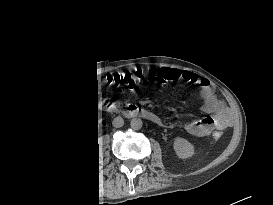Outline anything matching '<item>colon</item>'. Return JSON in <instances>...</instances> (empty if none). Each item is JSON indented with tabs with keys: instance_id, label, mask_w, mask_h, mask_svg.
<instances>
[{
	"instance_id": "colon-1",
	"label": "colon",
	"mask_w": 273,
	"mask_h": 205,
	"mask_svg": "<svg viewBox=\"0 0 273 205\" xmlns=\"http://www.w3.org/2000/svg\"><path fill=\"white\" fill-rule=\"evenodd\" d=\"M140 77V74H134V73H125L122 75H110L102 77L101 80L103 82L108 83L109 85H113L115 87H132L135 85L137 79ZM162 78V79H161ZM157 81L159 82H165L168 81V78L166 76L161 77ZM82 111L87 112L89 111L88 105H83L81 108ZM215 138H219L220 134L218 132L214 133Z\"/></svg>"
}]
</instances>
